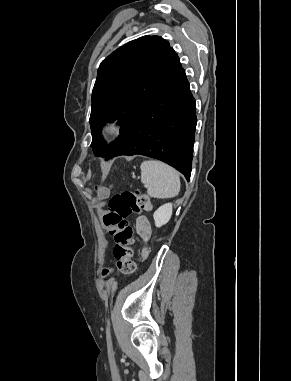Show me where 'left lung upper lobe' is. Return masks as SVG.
Instances as JSON below:
<instances>
[{
	"label": "left lung upper lobe",
	"mask_w": 291,
	"mask_h": 381,
	"mask_svg": "<svg viewBox=\"0 0 291 381\" xmlns=\"http://www.w3.org/2000/svg\"><path fill=\"white\" fill-rule=\"evenodd\" d=\"M181 68L175 51L159 36L130 41L106 57L99 66L92 91L89 122L93 151L106 157L124 138L148 101ZM116 120L122 124V134L106 147L101 129L104 123Z\"/></svg>",
	"instance_id": "1"
}]
</instances>
